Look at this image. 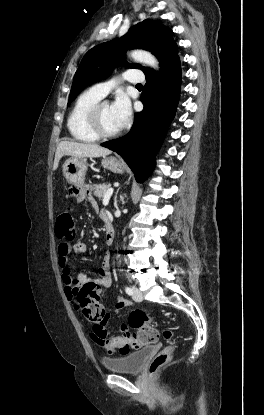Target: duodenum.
Instances as JSON below:
<instances>
[{"label": "duodenum", "instance_id": "duodenum-1", "mask_svg": "<svg viewBox=\"0 0 264 415\" xmlns=\"http://www.w3.org/2000/svg\"><path fill=\"white\" fill-rule=\"evenodd\" d=\"M115 238V232L112 226L111 218L105 219V241L108 245H112Z\"/></svg>", "mask_w": 264, "mask_h": 415}]
</instances>
